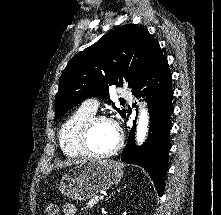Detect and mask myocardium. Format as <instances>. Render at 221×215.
<instances>
[{
	"instance_id": "f54148a6",
	"label": "myocardium",
	"mask_w": 221,
	"mask_h": 215,
	"mask_svg": "<svg viewBox=\"0 0 221 215\" xmlns=\"http://www.w3.org/2000/svg\"><path fill=\"white\" fill-rule=\"evenodd\" d=\"M99 122L111 123L116 128L117 134H118V139H117L115 146L112 149H110L109 151H106L103 153H99V152L94 151L91 148L90 142H89L90 134H91L94 126ZM79 142H80V146H81L82 150L85 152V154L90 155L95 158H107V157L115 155L122 148L123 142H124V136H123V133H122L119 125L112 118H110L106 115H94L90 119H88L86 121V123L84 124V126L80 132Z\"/></svg>"
}]
</instances>
